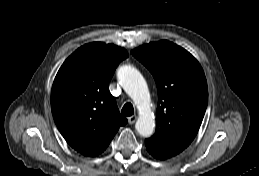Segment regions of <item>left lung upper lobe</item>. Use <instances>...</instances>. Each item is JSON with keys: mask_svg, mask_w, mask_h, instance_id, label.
Here are the masks:
<instances>
[{"mask_svg": "<svg viewBox=\"0 0 259 176\" xmlns=\"http://www.w3.org/2000/svg\"><path fill=\"white\" fill-rule=\"evenodd\" d=\"M131 53L152 73L158 90L156 132L145 140L147 151L168 159L182 152L200 128L208 102L205 74L188 51L166 40Z\"/></svg>", "mask_w": 259, "mask_h": 176, "instance_id": "obj_1", "label": "left lung upper lobe"}]
</instances>
